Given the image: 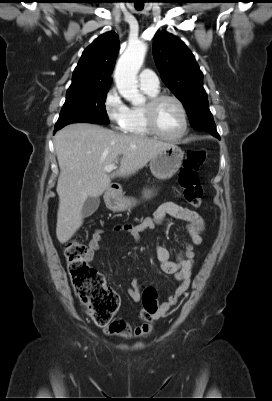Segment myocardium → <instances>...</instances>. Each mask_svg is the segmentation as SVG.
Masks as SVG:
<instances>
[{
  "label": "myocardium",
  "instance_id": "f54148a6",
  "mask_svg": "<svg viewBox=\"0 0 272 401\" xmlns=\"http://www.w3.org/2000/svg\"><path fill=\"white\" fill-rule=\"evenodd\" d=\"M173 101L175 102L178 107L180 108V111L183 116V129L180 134L176 136H168L164 134L157 123V111L159 106L164 102V101ZM144 115H145V121L148 129L151 131L152 134L156 135L157 137L167 140V141H178L182 139L188 132L189 129V119H188V114L187 110L183 104V102L176 96L169 95V94H157L151 98H149L148 102L144 106Z\"/></svg>",
  "mask_w": 272,
  "mask_h": 401
}]
</instances>
